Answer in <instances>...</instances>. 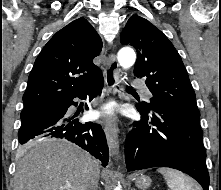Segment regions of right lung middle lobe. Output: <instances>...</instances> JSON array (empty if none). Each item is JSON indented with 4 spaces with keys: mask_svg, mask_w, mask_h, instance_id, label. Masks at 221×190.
Here are the masks:
<instances>
[{
    "mask_svg": "<svg viewBox=\"0 0 221 190\" xmlns=\"http://www.w3.org/2000/svg\"><path fill=\"white\" fill-rule=\"evenodd\" d=\"M54 104H48V105H43V106H39V107H34V108H27V109H23L21 112V121L24 122L28 119H31L39 114H41L42 112L46 111L47 109H49L50 107H52Z\"/></svg>",
    "mask_w": 221,
    "mask_h": 190,
    "instance_id": "right-lung-middle-lobe-1",
    "label": "right lung middle lobe"
}]
</instances>
